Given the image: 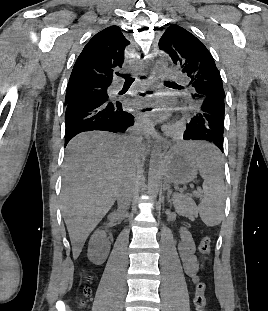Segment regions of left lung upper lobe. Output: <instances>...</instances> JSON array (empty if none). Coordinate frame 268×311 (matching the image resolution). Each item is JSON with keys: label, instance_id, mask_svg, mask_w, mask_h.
Returning <instances> with one entry per match:
<instances>
[{"label": "left lung upper lobe", "instance_id": "left-lung-upper-lobe-1", "mask_svg": "<svg viewBox=\"0 0 268 311\" xmlns=\"http://www.w3.org/2000/svg\"><path fill=\"white\" fill-rule=\"evenodd\" d=\"M159 48L190 79V115L198 111L205 99L213 102L216 96L225 97L220 72L211 53L193 34L180 26L171 25L160 38Z\"/></svg>", "mask_w": 268, "mask_h": 311}]
</instances>
